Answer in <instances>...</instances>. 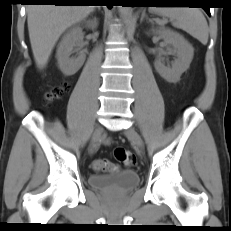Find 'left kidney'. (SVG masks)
<instances>
[{"label":"left kidney","mask_w":231,"mask_h":231,"mask_svg":"<svg viewBox=\"0 0 231 231\" xmlns=\"http://www.w3.org/2000/svg\"><path fill=\"white\" fill-rule=\"evenodd\" d=\"M155 33L164 40L166 45L171 46V51L176 54L172 67L165 66L161 59H158L154 63L155 69L166 81L176 83L180 80L182 73L189 68L194 48L182 35L170 29L162 28Z\"/></svg>","instance_id":"5707ae66"}]
</instances>
